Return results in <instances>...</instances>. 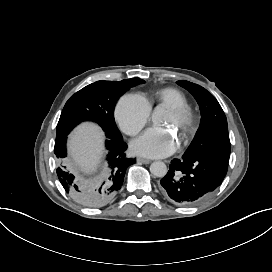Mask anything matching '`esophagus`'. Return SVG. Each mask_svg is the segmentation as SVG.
I'll list each match as a JSON object with an SVG mask.
<instances>
[{
	"instance_id": "1",
	"label": "esophagus",
	"mask_w": 272,
	"mask_h": 272,
	"mask_svg": "<svg viewBox=\"0 0 272 272\" xmlns=\"http://www.w3.org/2000/svg\"><path fill=\"white\" fill-rule=\"evenodd\" d=\"M137 161H138V162H141V163H143V164H149V163H151V160H150V159L143 158V157H138V158H137Z\"/></svg>"
}]
</instances>
